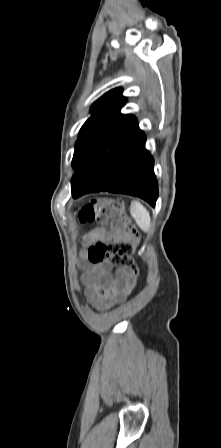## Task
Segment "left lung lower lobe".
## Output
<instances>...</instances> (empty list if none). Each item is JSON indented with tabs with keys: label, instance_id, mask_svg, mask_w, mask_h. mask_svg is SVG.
<instances>
[{
	"label": "left lung lower lobe",
	"instance_id": "obj_1",
	"mask_svg": "<svg viewBox=\"0 0 221 448\" xmlns=\"http://www.w3.org/2000/svg\"><path fill=\"white\" fill-rule=\"evenodd\" d=\"M145 141L146 135L140 130L93 166L78 169L72 177V196L99 191L123 193L138 196L154 207L158 183Z\"/></svg>",
	"mask_w": 221,
	"mask_h": 448
}]
</instances>
